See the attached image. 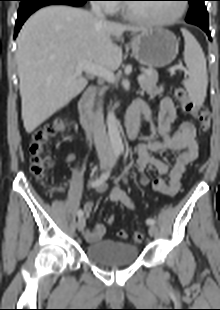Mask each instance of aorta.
Returning a JSON list of instances; mask_svg holds the SVG:
<instances>
[{"mask_svg":"<svg viewBox=\"0 0 220 310\" xmlns=\"http://www.w3.org/2000/svg\"><path fill=\"white\" fill-rule=\"evenodd\" d=\"M106 123L108 129V137L112 148L115 150H122L123 143L118 128V121L113 110L108 112Z\"/></svg>","mask_w":220,"mask_h":310,"instance_id":"obj_1","label":"aorta"}]
</instances>
